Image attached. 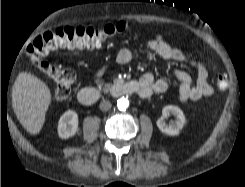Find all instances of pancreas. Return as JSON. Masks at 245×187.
Listing matches in <instances>:
<instances>
[{
	"instance_id": "cf45deb5",
	"label": "pancreas",
	"mask_w": 245,
	"mask_h": 187,
	"mask_svg": "<svg viewBox=\"0 0 245 187\" xmlns=\"http://www.w3.org/2000/svg\"><path fill=\"white\" fill-rule=\"evenodd\" d=\"M102 87V82L99 84ZM111 87V84L107 83L104 85V89H109Z\"/></svg>"
}]
</instances>
